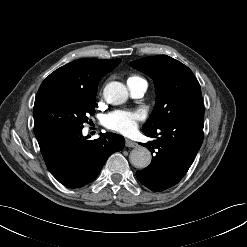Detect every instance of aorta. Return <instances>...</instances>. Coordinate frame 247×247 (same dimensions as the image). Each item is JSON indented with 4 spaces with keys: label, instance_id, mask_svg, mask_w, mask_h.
<instances>
[{
    "label": "aorta",
    "instance_id": "1",
    "mask_svg": "<svg viewBox=\"0 0 247 247\" xmlns=\"http://www.w3.org/2000/svg\"><path fill=\"white\" fill-rule=\"evenodd\" d=\"M103 95L107 103L119 105L126 102L128 91L124 84L113 81L105 86ZM129 159L135 168L144 169L151 162V153L147 148L139 146L130 152Z\"/></svg>",
    "mask_w": 247,
    "mask_h": 247
}]
</instances>
